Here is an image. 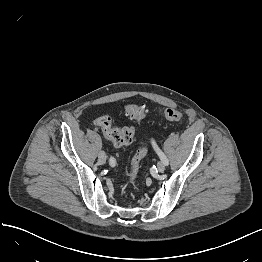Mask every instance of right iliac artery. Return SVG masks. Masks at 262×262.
I'll list each match as a JSON object with an SVG mask.
<instances>
[{
	"label": "right iliac artery",
	"mask_w": 262,
	"mask_h": 262,
	"mask_svg": "<svg viewBox=\"0 0 262 262\" xmlns=\"http://www.w3.org/2000/svg\"><path fill=\"white\" fill-rule=\"evenodd\" d=\"M113 163H114V159H110V165L112 166L113 165Z\"/></svg>",
	"instance_id": "1"
}]
</instances>
